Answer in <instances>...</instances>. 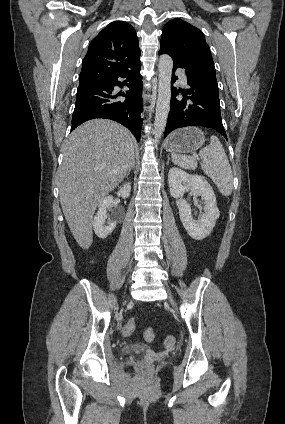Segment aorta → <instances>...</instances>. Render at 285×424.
Returning a JSON list of instances; mask_svg holds the SVG:
<instances>
[{"label":"aorta","mask_w":285,"mask_h":424,"mask_svg":"<svg viewBox=\"0 0 285 424\" xmlns=\"http://www.w3.org/2000/svg\"><path fill=\"white\" fill-rule=\"evenodd\" d=\"M172 69L173 60L171 56L167 54L161 55L158 64V98L154 121V137L156 141L163 135L170 111Z\"/></svg>","instance_id":"762f6f07"}]
</instances>
